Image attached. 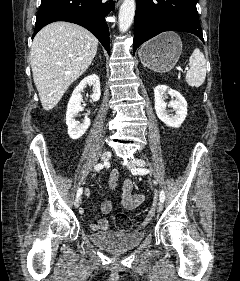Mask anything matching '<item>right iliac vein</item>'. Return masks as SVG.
I'll return each mask as SVG.
<instances>
[{"instance_id": "1", "label": "right iliac vein", "mask_w": 240, "mask_h": 281, "mask_svg": "<svg viewBox=\"0 0 240 281\" xmlns=\"http://www.w3.org/2000/svg\"><path fill=\"white\" fill-rule=\"evenodd\" d=\"M111 155H112V154H111L110 151L104 152V153L102 154V157H101L102 161L107 162V161L111 158ZM81 202H82V198H81L80 196L77 197V198L75 199L74 206H75L76 208H78V207L80 206Z\"/></svg>"}]
</instances>
